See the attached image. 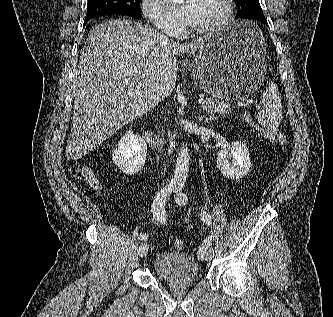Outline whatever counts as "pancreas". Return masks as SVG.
I'll list each match as a JSON object with an SVG mask.
<instances>
[{"label":"pancreas","instance_id":"pancreas-1","mask_svg":"<svg viewBox=\"0 0 333 317\" xmlns=\"http://www.w3.org/2000/svg\"><path fill=\"white\" fill-rule=\"evenodd\" d=\"M203 108L211 113H217L220 115H229L232 112L231 105L219 100L208 99V103Z\"/></svg>","mask_w":333,"mask_h":317}]
</instances>
